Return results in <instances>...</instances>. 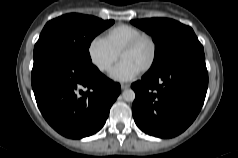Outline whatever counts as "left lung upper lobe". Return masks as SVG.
Masks as SVG:
<instances>
[{"label":"left lung upper lobe","mask_w":238,"mask_h":158,"mask_svg":"<svg viewBox=\"0 0 238 158\" xmlns=\"http://www.w3.org/2000/svg\"><path fill=\"white\" fill-rule=\"evenodd\" d=\"M131 23L150 34L155 43V57L148 72L157 71L185 53L203 50L192 28L175 20L150 18Z\"/></svg>","instance_id":"left-lung-upper-lobe-1"}]
</instances>
